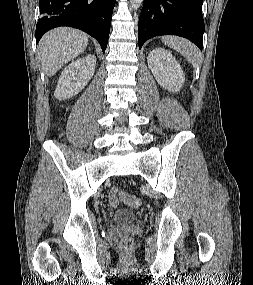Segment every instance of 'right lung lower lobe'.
<instances>
[{
	"label": "right lung lower lobe",
	"mask_w": 253,
	"mask_h": 285,
	"mask_svg": "<svg viewBox=\"0 0 253 285\" xmlns=\"http://www.w3.org/2000/svg\"><path fill=\"white\" fill-rule=\"evenodd\" d=\"M116 0H39L36 43L50 29L70 26L93 36L105 52Z\"/></svg>",
	"instance_id": "98d812e1"
}]
</instances>
